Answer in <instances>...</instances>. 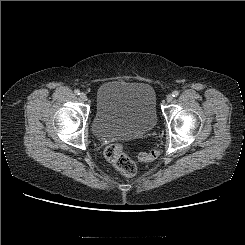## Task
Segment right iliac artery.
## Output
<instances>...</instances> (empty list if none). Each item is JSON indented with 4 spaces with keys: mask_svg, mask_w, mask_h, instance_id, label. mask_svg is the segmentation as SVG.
Segmentation results:
<instances>
[{
    "mask_svg": "<svg viewBox=\"0 0 245 245\" xmlns=\"http://www.w3.org/2000/svg\"><path fill=\"white\" fill-rule=\"evenodd\" d=\"M75 94H76V95H80V90L76 89V90H75Z\"/></svg>",
    "mask_w": 245,
    "mask_h": 245,
    "instance_id": "obj_1",
    "label": "right iliac artery"
}]
</instances>
